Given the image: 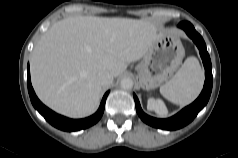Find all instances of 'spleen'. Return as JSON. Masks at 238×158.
Returning a JSON list of instances; mask_svg holds the SVG:
<instances>
[{
  "instance_id": "3e777b00",
  "label": "spleen",
  "mask_w": 238,
  "mask_h": 158,
  "mask_svg": "<svg viewBox=\"0 0 238 158\" xmlns=\"http://www.w3.org/2000/svg\"><path fill=\"white\" fill-rule=\"evenodd\" d=\"M204 72L196 57H188L173 78L160 87L161 95L172 103L187 105L201 92Z\"/></svg>"
}]
</instances>
